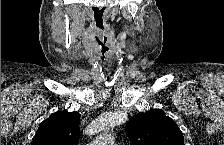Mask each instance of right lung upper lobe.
I'll return each mask as SVG.
<instances>
[{"mask_svg":"<svg viewBox=\"0 0 224 145\" xmlns=\"http://www.w3.org/2000/svg\"><path fill=\"white\" fill-rule=\"evenodd\" d=\"M80 123L76 112L59 111L40 123L32 145H77Z\"/></svg>","mask_w":224,"mask_h":145,"instance_id":"1","label":"right lung upper lobe"}]
</instances>
